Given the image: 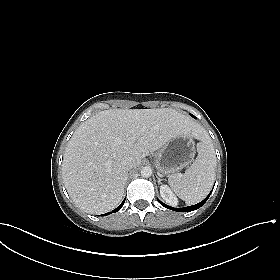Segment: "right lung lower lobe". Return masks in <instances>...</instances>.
<instances>
[{
  "label": "right lung lower lobe",
  "instance_id": "1",
  "mask_svg": "<svg viewBox=\"0 0 280 280\" xmlns=\"http://www.w3.org/2000/svg\"><path fill=\"white\" fill-rule=\"evenodd\" d=\"M124 202H125V200L116 209H114L111 213H115V212L119 211L122 208ZM106 215H108V213L103 214L102 216H106Z\"/></svg>",
  "mask_w": 280,
  "mask_h": 280
}]
</instances>
